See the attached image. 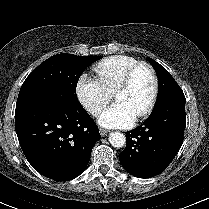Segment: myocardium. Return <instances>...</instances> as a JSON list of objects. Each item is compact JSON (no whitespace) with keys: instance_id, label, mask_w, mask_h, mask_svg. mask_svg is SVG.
<instances>
[{"instance_id":"f54148a6","label":"myocardium","mask_w":209,"mask_h":209,"mask_svg":"<svg viewBox=\"0 0 209 209\" xmlns=\"http://www.w3.org/2000/svg\"><path fill=\"white\" fill-rule=\"evenodd\" d=\"M146 70L152 77L153 81V91L151 98L149 100V103L147 104L146 108L137 116V120H142L146 118L154 109L158 95H159V79L157 76V73L153 69V67L147 63H138L137 65L133 66L123 77V79L119 82L117 85L115 91H114V96L116 98V95L118 92L126 89L127 87L130 86V84L133 81V78L137 74L138 71L140 70Z\"/></svg>"}]
</instances>
